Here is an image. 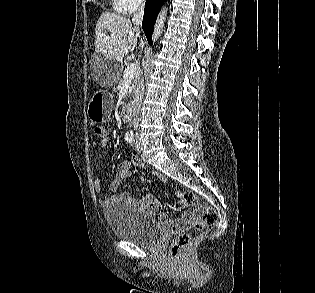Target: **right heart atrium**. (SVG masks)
Listing matches in <instances>:
<instances>
[{
  "mask_svg": "<svg viewBox=\"0 0 315 293\" xmlns=\"http://www.w3.org/2000/svg\"><path fill=\"white\" fill-rule=\"evenodd\" d=\"M125 12H132L142 6L145 0H119Z\"/></svg>",
  "mask_w": 315,
  "mask_h": 293,
  "instance_id": "right-heart-atrium-1",
  "label": "right heart atrium"
}]
</instances>
